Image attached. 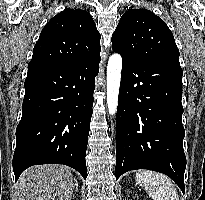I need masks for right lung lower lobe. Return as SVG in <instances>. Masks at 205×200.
Wrapping results in <instances>:
<instances>
[{
    "mask_svg": "<svg viewBox=\"0 0 205 200\" xmlns=\"http://www.w3.org/2000/svg\"><path fill=\"white\" fill-rule=\"evenodd\" d=\"M100 55L74 63H29L13 156L15 180L28 167L64 164L86 179L94 78Z\"/></svg>",
    "mask_w": 205,
    "mask_h": 200,
    "instance_id": "98d812e1",
    "label": "right lung lower lobe"
}]
</instances>
